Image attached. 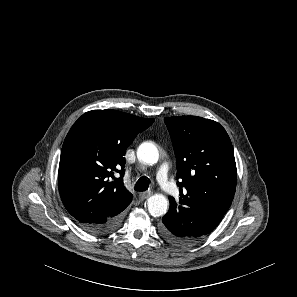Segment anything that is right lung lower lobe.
Instances as JSON below:
<instances>
[{"mask_svg": "<svg viewBox=\"0 0 297 297\" xmlns=\"http://www.w3.org/2000/svg\"><path fill=\"white\" fill-rule=\"evenodd\" d=\"M122 219V214H116L115 216L109 217L106 221L98 224H90L87 226H84L83 228L92 234H108L112 231L116 230Z\"/></svg>", "mask_w": 297, "mask_h": 297, "instance_id": "98d812e1", "label": "right lung lower lobe"}]
</instances>
